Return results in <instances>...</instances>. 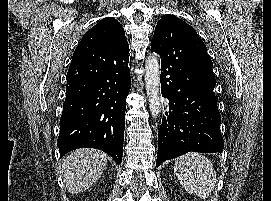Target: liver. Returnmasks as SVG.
I'll return each mask as SVG.
<instances>
[{
	"label": "liver",
	"instance_id": "obj_1",
	"mask_svg": "<svg viewBox=\"0 0 271 201\" xmlns=\"http://www.w3.org/2000/svg\"><path fill=\"white\" fill-rule=\"evenodd\" d=\"M107 164V156L99 150L78 149L62 162V174L70 194L89 189L101 177Z\"/></svg>",
	"mask_w": 271,
	"mask_h": 201
}]
</instances>
